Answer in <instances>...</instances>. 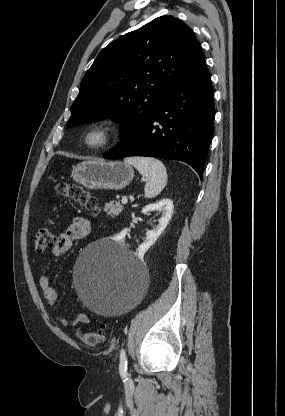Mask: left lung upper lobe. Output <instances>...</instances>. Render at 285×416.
Masks as SVG:
<instances>
[{"mask_svg": "<svg viewBox=\"0 0 285 416\" xmlns=\"http://www.w3.org/2000/svg\"><path fill=\"white\" fill-rule=\"evenodd\" d=\"M204 58L192 30L161 16L105 47L81 81L67 128L111 118L120 138L142 124Z\"/></svg>", "mask_w": 285, "mask_h": 416, "instance_id": "obj_1", "label": "left lung upper lobe"}]
</instances>
